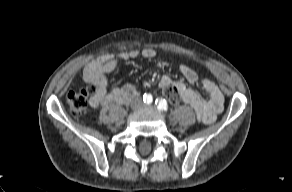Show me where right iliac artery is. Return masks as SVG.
Instances as JSON below:
<instances>
[{
	"label": "right iliac artery",
	"instance_id": "right-iliac-artery-1",
	"mask_svg": "<svg viewBox=\"0 0 292 192\" xmlns=\"http://www.w3.org/2000/svg\"><path fill=\"white\" fill-rule=\"evenodd\" d=\"M143 101L146 104H151L153 102V97L151 94H144Z\"/></svg>",
	"mask_w": 292,
	"mask_h": 192
}]
</instances>
